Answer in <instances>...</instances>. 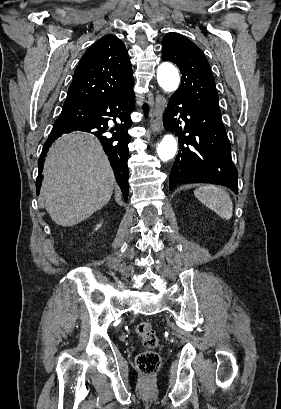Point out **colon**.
I'll use <instances>...</instances> for the list:
<instances>
[{"label": "colon", "mask_w": 281, "mask_h": 409, "mask_svg": "<svg viewBox=\"0 0 281 409\" xmlns=\"http://www.w3.org/2000/svg\"><path fill=\"white\" fill-rule=\"evenodd\" d=\"M136 331L147 349L137 357V368L143 373L151 374L158 369L161 362L160 356L154 351L159 346V338L152 324L139 323Z\"/></svg>", "instance_id": "5ec220e1"}]
</instances>
